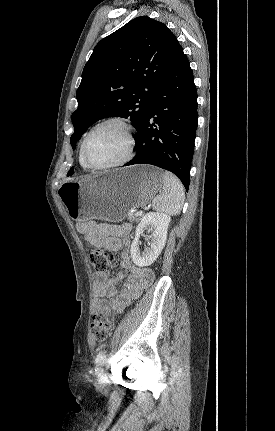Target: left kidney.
Returning <instances> with one entry per match:
<instances>
[{
    "label": "left kidney",
    "mask_w": 275,
    "mask_h": 431,
    "mask_svg": "<svg viewBox=\"0 0 275 431\" xmlns=\"http://www.w3.org/2000/svg\"><path fill=\"white\" fill-rule=\"evenodd\" d=\"M170 216L159 212H149L143 216L136 228V235L131 244V257L133 262L140 267L151 265L161 253L167 239V229ZM149 227L151 231L149 248L142 253L139 250V238L144 230Z\"/></svg>",
    "instance_id": "left-kidney-1"
}]
</instances>
